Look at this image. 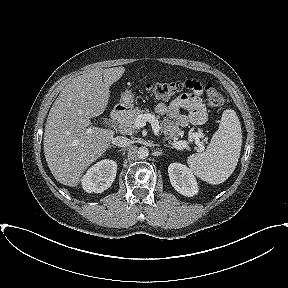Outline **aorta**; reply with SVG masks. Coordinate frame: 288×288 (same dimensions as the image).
<instances>
[{"instance_id":"1","label":"aorta","mask_w":288,"mask_h":288,"mask_svg":"<svg viewBox=\"0 0 288 288\" xmlns=\"http://www.w3.org/2000/svg\"><path fill=\"white\" fill-rule=\"evenodd\" d=\"M149 155V150L147 147H140L137 151V157L139 159H146Z\"/></svg>"}]
</instances>
